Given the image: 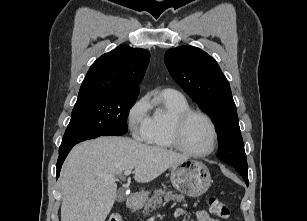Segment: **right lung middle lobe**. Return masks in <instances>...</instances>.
<instances>
[{"instance_id": "1", "label": "right lung middle lobe", "mask_w": 307, "mask_h": 221, "mask_svg": "<svg viewBox=\"0 0 307 221\" xmlns=\"http://www.w3.org/2000/svg\"><path fill=\"white\" fill-rule=\"evenodd\" d=\"M137 95H102L76 102L59 152L88 139L127 133V117Z\"/></svg>"}]
</instances>
